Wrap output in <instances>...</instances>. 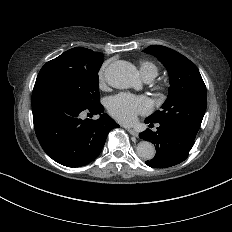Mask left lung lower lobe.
Here are the masks:
<instances>
[{
  "instance_id": "left-lung-lower-lobe-1",
  "label": "left lung lower lobe",
  "mask_w": 232,
  "mask_h": 232,
  "mask_svg": "<svg viewBox=\"0 0 232 232\" xmlns=\"http://www.w3.org/2000/svg\"><path fill=\"white\" fill-rule=\"evenodd\" d=\"M145 123H150L149 127L153 126V122L147 118ZM158 125L157 131L146 129L139 134L141 139L154 143L156 148L155 157L146 161V164L153 168H167L187 159L195 137L172 124L158 123Z\"/></svg>"
}]
</instances>
